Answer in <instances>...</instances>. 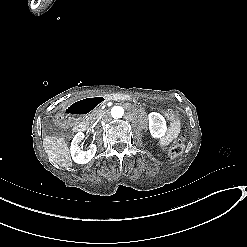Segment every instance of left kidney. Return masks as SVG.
Wrapping results in <instances>:
<instances>
[{
	"label": "left kidney",
	"instance_id": "left-kidney-1",
	"mask_svg": "<svg viewBox=\"0 0 247 247\" xmlns=\"http://www.w3.org/2000/svg\"><path fill=\"white\" fill-rule=\"evenodd\" d=\"M149 118L151 121V131H150V135L152 138L154 139H159L163 136H165L166 131H167V126L165 123V119L163 118L162 115H160L159 113L156 112H151L149 114ZM153 124L156 125V127L153 126Z\"/></svg>",
	"mask_w": 247,
	"mask_h": 247
}]
</instances>
